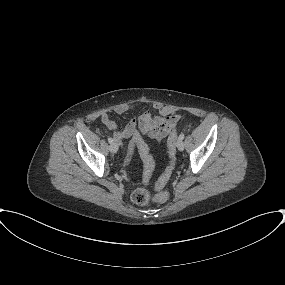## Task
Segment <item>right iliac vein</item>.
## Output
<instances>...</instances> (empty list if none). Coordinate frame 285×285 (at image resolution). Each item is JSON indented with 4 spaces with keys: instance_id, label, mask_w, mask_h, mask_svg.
Instances as JSON below:
<instances>
[{
    "instance_id": "right-iliac-vein-1",
    "label": "right iliac vein",
    "mask_w": 285,
    "mask_h": 285,
    "mask_svg": "<svg viewBox=\"0 0 285 285\" xmlns=\"http://www.w3.org/2000/svg\"><path fill=\"white\" fill-rule=\"evenodd\" d=\"M109 149H110L111 153H113V154L117 153V151H118V144L117 143H111Z\"/></svg>"
}]
</instances>
